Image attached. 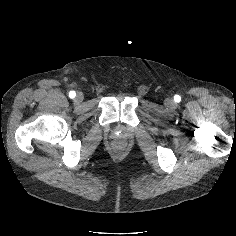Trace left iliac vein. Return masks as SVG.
Masks as SVG:
<instances>
[{"label": "left iliac vein", "instance_id": "left-iliac-vein-1", "mask_svg": "<svg viewBox=\"0 0 236 236\" xmlns=\"http://www.w3.org/2000/svg\"><path fill=\"white\" fill-rule=\"evenodd\" d=\"M165 104L167 105V106H170V107H172V106H174V101L173 100H171V99H166L165 100Z\"/></svg>", "mask_w": 236, "mask_h": 236}]
</instances>
